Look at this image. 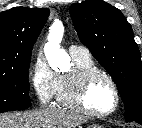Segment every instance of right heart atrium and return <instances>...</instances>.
I'll use <instances>...</instances> for the list:
<instances>
[{"mask_svg": "<svg viewBox=\"0 0 142 128\" xmlns=\"http://www.w3.org/2000/svg\"><path fill=\"white\" fill-rule=\"evenodd\" d=\"M29 79L40 104L51 103L57 91L58 75L50 68L43 55L38 54L31 63Z\"/></svg>", "mask_w": 142, "mask_h": 128, "instance_id": "obj_1", "label": "right heart atrium"}]
</instances>
